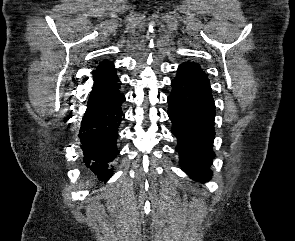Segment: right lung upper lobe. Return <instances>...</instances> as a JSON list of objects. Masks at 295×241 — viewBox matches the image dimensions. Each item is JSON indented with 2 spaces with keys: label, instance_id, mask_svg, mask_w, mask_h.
Here are the masks:
<instances>
[{
  "label": "right lung upper lobe",
  "instance_id": "obj_1",
  "mask_svg": "<svg viewBox=\"0 0 295 241\" xmlns=\"http://www.w3.org/2000/svg\"><path fill=\"white\" fill-rule=\"evenodd\" d=\"M93 88L103 87L112 84L118 80L116 69L113 63L103 61L93 72Z\"/></svg>",
  "mask_w": 295,
  "mask_h": 241
}]
</instances>
